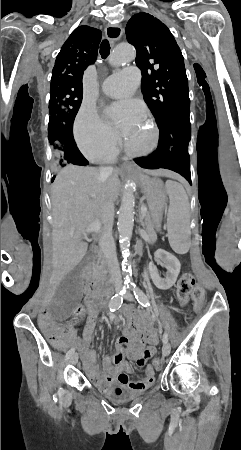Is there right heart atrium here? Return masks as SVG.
Wrapping results in <instances>:
<instances>
[{"mask_svg":"<svg viewBox=\"0 0 241 450\" xmlns=\"http://www.w3.org/2000/svg\"><path fill=\"white\" fill-rule=\"evenodd\" d=\"M73 132L76 145L86 158L102 161L113 157L112 130L100 120L94 107L81 105L74 119Z\"/></svg>","mask_w":241,"mask_h":450,"instance_id":"right-heart-atrium-1","label":"right heart atrium"}]
</instances>
